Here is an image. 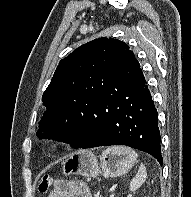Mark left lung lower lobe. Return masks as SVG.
Wrapping results in <instances>:
<instances>
[{"mask_svg":"<svg viewBox=\"0 0 191 197\" xmlns=\"http://www.w3.org/2000/svg\"><path fill=\"white\" fill-rule=\"evenodd\" d=\"M77 123L66 139L74 148L126 145L151 154L162 165L157 110L142 71L103 95L95 110Z\"/></svg>","mask_w":191,"mask_h":197,"instance_id":"1","label":"left lung lower lobe"}]
</instances>
